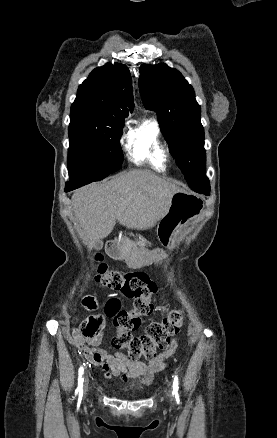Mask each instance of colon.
<instances>
[{"instance_id": "1", "label": "colon", "mask_w": 277, "mask_h": 438, "mask_svg": "<svg viewBox=\"0 0 277 438\" xmlns=\"http://www.w3.org/2000/svg\"><path fill=\"white\" fill-rule=\"evenodd\" d=\"M101 263L91 267L92 276L96 283L108 287L133 301V306L128 311L119 312L118 318L113 321V326L122 331L117 332L111 339L110 345L114 349L127 350L131 361L140 358L151 359L157 350H163L170 343L172 335L177 332L183 324V315L179 310H172L169 317L153 322L146 327L141 335H133L127 329L134 325L137 318L143 317L154 311L151 295L154 293L155 284L152 278L145 272H120L110 269L104 262L103 257L96 258ZM78 292L84 297L83 302L88 305L87 310H95L96 300L88 296L91 289L83 284ZM84 325L78 320L71 323L73 332L82 334L87 342L93 343L98 340L104 322L97 318L95 313L90 315Z\"/></svg>"}]
</instances>
